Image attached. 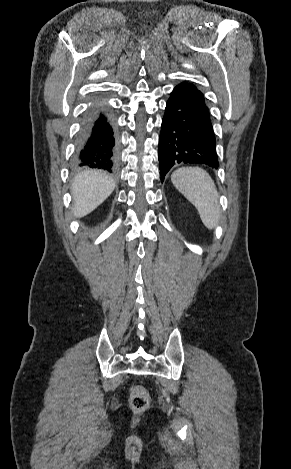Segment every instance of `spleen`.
Wrapping results in <instances>:
<instances>
[{
    "label": "spleen",
    "mask_w": 291,
    "mask_h": 469,
    "mask_svg": "<svg viewBox=\"0 0 291 469\" xmlns=\"http://www.w3.org/2000/svg\"><path fill=\"white\" fill-rule=\"evenodd\" d=\"M173 185L199 212L203 224L210 230L218 223L219 195L210 175L198 167L179 168L171 175Z\"/></svg>",
    "instance_id": "obj_1"
}]
</instances>
